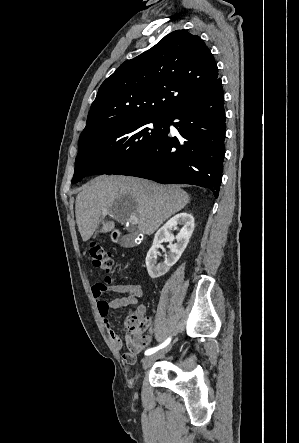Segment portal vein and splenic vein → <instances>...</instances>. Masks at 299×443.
Segmentation results:
<instances>
[{
	"label": "portal vein and splenic vein",
	"mask_w": 299,
	"mask_h": 443,
	"mask_svg": "<svg viewBox=\"0 0 299 443\" xmlns=\"http://www.w3.org/2000/svg\"><path fill=\"white\" fill-rule=\"evenodd\" d=\"M107 213H108V210H107V209H103V214L105 215V214H107ZM129 222H130L131 224H133V225L138 224V218H137V216H135V215H131L130 218H129Z\"/></svg>",
	"instance_id": "obj_1"
}]
</instances>
